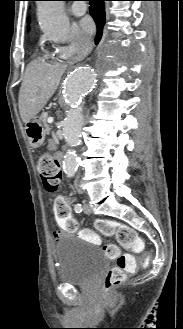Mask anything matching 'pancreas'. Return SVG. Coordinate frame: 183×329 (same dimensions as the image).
<instances>
[{
  "label": "pancreas",
  "mask_w": 183,
  "mask_h": 329,
  "mask_svg": "<svg viewBox=\"0 0 183 329\" xmlns=\"http://www.w3.org/2000/svg\"><path fill=\"white\" fill-rule=\"evenodd\" d=\"M47 120H48V115H44L43 118H42V123H43V125H44L45 131H46L47 133H49V131H50V127H49V125L47 124Z\"/></svg>",
  "instance_id": "1"
}]
</instances>
